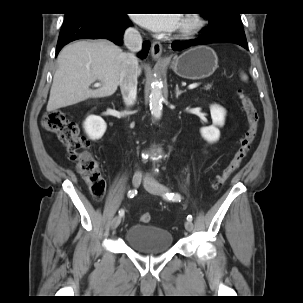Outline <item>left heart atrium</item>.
<instances>
[{
  "label": "left heart atrium",
  "mask_w": 303,
  "mask_h": 303,
  "mask_svg": "<svg viewBox=\"0 0 303 303\" xmlns=\"http://www.w3.org/2000/svg\"><path fill=\"white\" fill-rule=\"evenodd\" d=\"M135 20L152 31L168 32L179 25L180 17L178 14H136Z\"/></svg>",
  "instance_id": "39dd6f15"
}]
</instances>
